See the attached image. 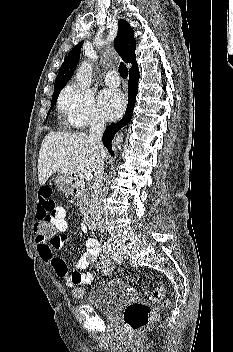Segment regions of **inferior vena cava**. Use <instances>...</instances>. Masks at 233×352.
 Here are the masks:
<instances>
[{
	"instance_id": "1",
	"label": "inferior vena cava",
	"mask_w": 233,
	"mask_h": 352,
	"mask_svg": "<svg viewBox=\"0 0 233 352\" xmlns=\"http://www.w3.org/2000/svg\"><path fill=\"white\" fill-rule=\"evenodd\" d=\"M104 128H105L104 119L101 116L95 114L92 117V120L90 123V129H89L90 141L95 142L98 145H101V139L104 132ZM103 170H104V159H101L95 171V179L92 187L93 188L92 197H93V206H94V214H95L94 217L101 232L104 231L103 209H102V200H101V195H102L101 185H102V179H103V175H102Z\"/></svg>"
}]
</instances>
